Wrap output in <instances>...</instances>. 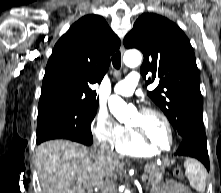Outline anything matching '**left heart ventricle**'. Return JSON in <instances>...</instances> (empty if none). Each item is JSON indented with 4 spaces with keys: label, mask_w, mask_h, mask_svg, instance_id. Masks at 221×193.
<instances>
[{
    "label": "left heart ventricle",
    "mask_w": 221,
    "mask_h": 193,
    "mask_svg": "<svg viewBox=\"0 0 221 193\" xmlns=\"http://www.w3.org/2000/svg\"><path fill=\"white\" fill-rule=\"evenodd\" d=\"M129 126L142 129L149 140L161 148L166 149L170 145V135L165 123L154 114H141L137 112Z\"/></svg>",
    "instance_id": "1"
}]
</instances>
